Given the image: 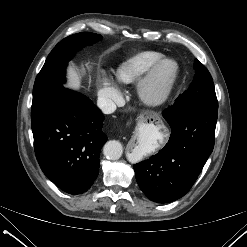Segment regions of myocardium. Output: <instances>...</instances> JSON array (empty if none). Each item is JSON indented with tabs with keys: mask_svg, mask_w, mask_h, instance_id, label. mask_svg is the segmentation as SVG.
I'll return each mask as SVG.
<instances>
[{
	"mask_svg": "<svg viewBox=\"0 0 247 247\" xmlns=\"http://www.w3.org/2000/svg\"><path fill=\"white\" fill-rule=\"evenodd\" d=\"M168 66V74L160 78V69ZM177 62L169 57H161L156 61L137 85L138 96L148 106H159L170 96L178 77Z\"/></svg>",
	"mask_w": 247,
	"mask_h": 247,
	"instance_id": "1",
	"label": "myocardium"
}]
</instances>
